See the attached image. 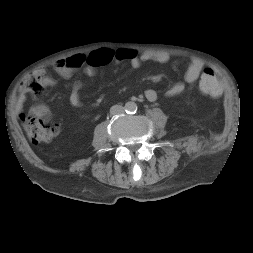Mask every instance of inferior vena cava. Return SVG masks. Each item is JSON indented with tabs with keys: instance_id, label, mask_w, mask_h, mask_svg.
Wrapping results in <instances>:
<instances>
[{
	"instance_id": "1",
	"label": "inferior vena cava",
	"mask_w": 253,
	"mask_h": 253,
	"mask_svg": "<svg viewBox=\"0 0 253 253\" xmlns=\"http://www.w3.org/2000/svg\"><path fill=\"white\" fill-rule=\"evenodd\" d=\"M124 112H125V109L121 105H114L110 108V113L112 115H119V114H123Z\"/></svg>"
}]
</instances>
